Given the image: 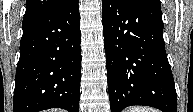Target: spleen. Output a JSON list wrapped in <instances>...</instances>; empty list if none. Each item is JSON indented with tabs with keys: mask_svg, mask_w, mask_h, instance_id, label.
Wrapping results in <instances>:
<instances>
[{
	"mask_svg": "<svg viewBox=\"0 0 193 112\" xmlns=\"http://www.w3.org/2000/svg\"><path fill=\"white\" fill-rule=\"evenodd\" d=\"M126 112H157V110L149 107H132L127 109Z\"/></svg>",
	"mask_w": 193,
	"mask_h": 112,
	"instance_id": "obj_1",
	"label": "spleen"
}]
</instances>
